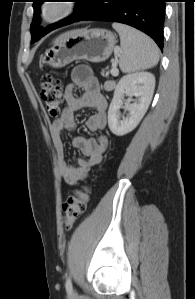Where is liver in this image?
I'll return each instance as SVG.
<instances>
[{"mask_svg":"<svg viewBox=\"0 0 195 299\" xmlns=\"http://www.w3.org/2000/svg\"><path fill=\"white\" fill-rule=\"evenodd\" d=\"M66 34H67V33L60 35V36L55 40V42H57L59 39H61L62 37H64ZM55 42H54V43H55Z\"/></svg>","mask_w":195,"mask_h":299,"instance_id":"liver-1","label":"liver"}]
</instances>
